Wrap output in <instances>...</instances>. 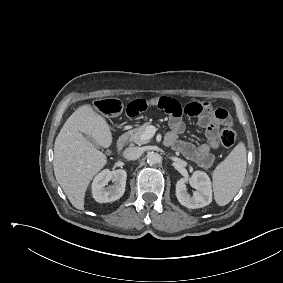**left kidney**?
<instances>
[{"instance_id":"obj_1","label":"left kidney","mask_w":283,"mask_h":283,"mask_svg":"<svg viewBox=\"0 0 283 283\" xmlns=\"http://www.w3.org/2000/svg\"><path fill=\"white\" fill-rule=\"evenodd\" d=\"M187 182L196 189L193 196H190L187 192ZM176 197L181 205L190 209L209 205L212 202V186L207 173L203 171H195L190 179H179L176 183Z\"/></svg>"}]
</instances>
